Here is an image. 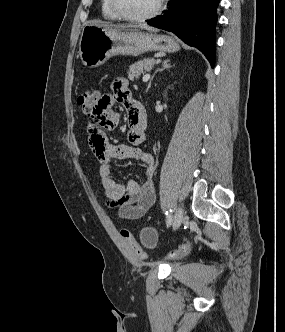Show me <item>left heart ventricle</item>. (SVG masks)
<instances>
[{"mask_svg":"<svg viewBox=\"0 0 285 332\" xmlns=\"http://www.w3.org/2000/svg\"><path fill=\"white\" fill-rule=\"evenodd\" d=\"M121 9L133 16H142L151 13L158 5L159 0H117Z\"/></svg>","mask_w":285,"mask_h":332,"instance_id":"left-heart-ventricle-1","label":"left heart ventricle"}]
</instances>
